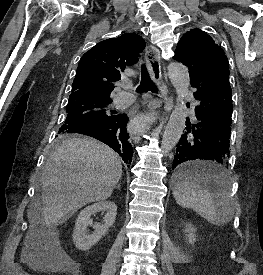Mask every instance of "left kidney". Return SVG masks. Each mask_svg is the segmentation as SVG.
Masks as SVG:
<instances>
[{"label":"left kidney","mask_w":263,"mask_h":275,"mask_svg":"<svg viewBox=\"0 0 263 275\" xmlns=\"http://www.w3.org/2000/svg\"><path fill=\"white\" fill-rule=\"evenodd\" d=\"M185 233H188L186 235L188 237V242L190 244H193L196 241L195 228L191 224H188L186 225Z\"/></svg>","instance_id":"1"}]
</instances>
